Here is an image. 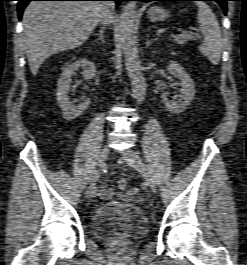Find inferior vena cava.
<instances>
[{
	"label": "inferior vena cava",
	"mask_w": 247,
	"mask_h": 265,
	"mask_svg": "<svg viewBox=\"0 0 247 265\" xmlns=\"http://www.w3.org/2000/svg\"><path fill=\"white\" fill-rule=\"evenodd\" d=\"M104 5V11L101 13L99 22L106 26L111 22L112 16H113V10H114V3L112 2H103Z\"/></svg>",
	"instance_id": "1"
}]
</instances>
